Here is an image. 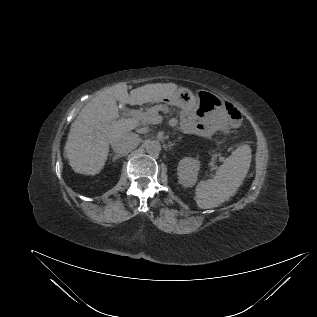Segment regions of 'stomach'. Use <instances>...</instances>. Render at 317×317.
I'll list each match as a JSON object with an SVG mask.
<instances>
[{
    "instance_id": "0dacf381",
    "label": "stomach",
    "mask_w": 317,
    "mask_h": 317,
    "mask_svg": "<svg viewBox=\"0 0 317 317\" xmlns=\"http://www.w3.org/2000/svg\"><path fill=\"white\" fill-rule=\"evenodd\" d=\"M160 101L175 105L184 111L213 118L218 122L220 128L225 126L226 117L223 99L210 91L199 90L196 94H193L187 88H179L172 96Z\"/></svg>"
}]
</instances>
